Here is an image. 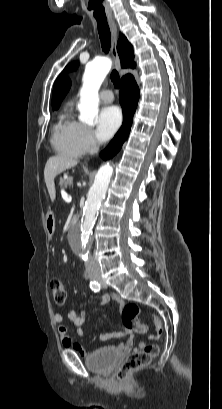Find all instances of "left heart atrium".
<instances>
[{"mask_svg":"<svg viewBox=\"0 0 222 409\" xmlns=\"http://www.w3.org/2000/svg\"><path fill=\"white\" fill-rule=\"evenodd\" d=\"M121 124V112L116 106L104 107L98 116L96 136L100 141L109 140Z\"/></svg>","mask_w":222,"mask_h":409,"instance_id":"obj_1","label":"left heart atrium"}]
</instances>
